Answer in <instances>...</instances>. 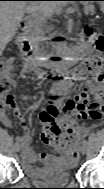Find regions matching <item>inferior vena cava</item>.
Masks as SVG:
<instances>
[{
  "label": "inferior vena cava",
  "instance_id": "inferior-vena-cava-1",
  "mask_svg": "<svg viewBox=\"0 0 104 189\" xmlns=\"http://www.w3.org/2000/svg\"><path fill=\"white\" fill-rule=\"evenodd\" d=\"M34 34L36 36L38 43H40V41L42 40V36L44 35V30H43L42 24H38L35 27Z\"/></svg>",
  "mask_w": 104,
  "mask_h": 189
}]
</instances>
